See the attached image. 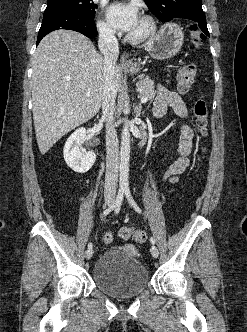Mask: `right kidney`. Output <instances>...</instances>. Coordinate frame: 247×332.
<instances>
[{
  "label": "right kidney",
  "mask_w": 247,
  "mask_h": 332,
  "mask_svg": "<svg viewBox=\"0 0 247 332\" xmlns=\"http://www.w3.org/2000/svg\"><path fill=\"white\" fill-rule=\"evenodd\" d=\"M86 134L85 128H79L69 136L64 145V160L77 173L89 171L96 160V154L93 151L87 152L81 147Z\"/></svg>",
  "instance_id": "obj_1"
}]
</instances>
